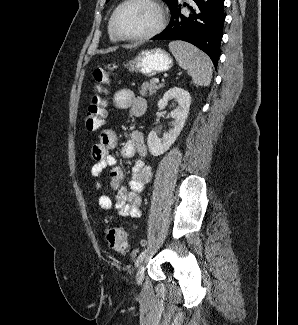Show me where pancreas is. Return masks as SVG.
Segmentation results:
<instances>
[{
  "mask_svg": "<svg viewBox=\"0 0 298 325\" xmlns=\"http://www.w3.org/2000/svg\"><path fill=\"white\" fill-rule=\"evenodd\" d=\"M162 86H164V84H156L154 80H145L140 86L139 94H141V96H152V94H155L156 90L162 88Z\"/></svg>",
  "mask_w": 298,
  "mask_h": 325,
  "instance_id": "cf45deb5",
  "label": "pancreas"
}]
</instances>
